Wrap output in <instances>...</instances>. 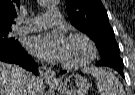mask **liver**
Returning <instances> with one entry per match:
<instances>
[{
    "instance_id": "liver-1",
    "label": "liver",
    "mask_w": 135,
    "mask_h": 95,
    "mask_svg": "<svg viewBox=\"0 0 135 95\" xmlns=\"http://www.w3.org/2000/svg\"><path fill=\"white\" fill-rule=\"evenodd\" d=\"M23 68L0 62V95H24L27 85V75ZM41 81L35 78L31 91L32 95H39Z\"/></svg>"
}]
</instances>
